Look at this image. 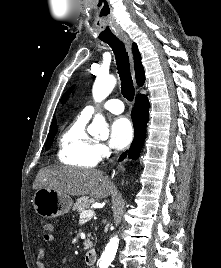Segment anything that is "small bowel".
Here are the masks:
<instances>
[{"instance_id":"small-bowel-1","label":"small bowel","mask_w":221,"mask_h":268,"mask_svg":"<svg viewBox=\"0 0 221 268\" xmlns=\"http://www.w3.org/2000/svg\"><path fill=\"white\" fill-rule=\"evenodd\" d=\"M55 239L53 234V228L49 232H45L43 235V240L46 243H50ZM46 249L44 247H39L37 249V268H47L45 263Z\"/></svg>"}]
</instances>
